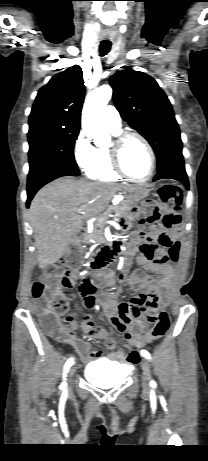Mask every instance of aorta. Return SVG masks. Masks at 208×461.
Wrapping results in <instances>:
<instances>
[{"label":"aorta","mask_w":208,"mask_h":461,"mask_svg":"<svg viewBox=\"0 0 208 461\" xmlns=\"http://www.w3.org/2000/svg\"><path fill=\"white\" fill-rule=\"evenodd\" d=\"M112 97V88L101 86L90 92L82 111V128L98 147L109 144V134L102 120V112Z\"/></svg>","instance_id":"1"}]
</instances>
